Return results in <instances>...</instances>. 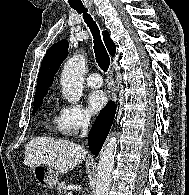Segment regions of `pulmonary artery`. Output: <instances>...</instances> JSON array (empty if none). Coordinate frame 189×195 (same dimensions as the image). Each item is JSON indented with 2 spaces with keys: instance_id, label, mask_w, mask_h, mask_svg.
<instances>
[{
  "instance_id": "pulmonary-artery-1",
  "label": "pulmonary artery",
  "mask_w": 189,
  "mask_h": 195,
  "mask_svg": "<svg viewBox=\"0 0 189 195\" xmlns=\"http://www.w3.org/2000/svg\"><path fill=\"white\" fill-rule=\"evenodd\" d=\"M86 83L89 87L96 89L101 87L103 80L99 73L92 72L87 75Z\"/></svg>"
}]
</instances>
